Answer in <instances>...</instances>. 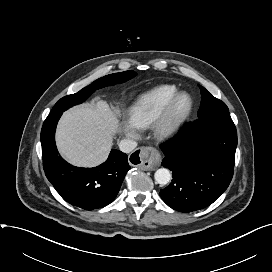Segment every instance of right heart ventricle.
<instances>
[{
    "label": "right heart ventricle",
    "mask_w": 272,
    "mask_h": 272,
    "mask_svg": "<svg viewBox=\"0 0 272 272\" xmlns=\"http://www.w3.org/2000/svg\"><path fill=\"white\" fill-rule=\"evenodd\" d=\"M177 92L178 88L175 85L165 84L142 94L128 110L130 122L138 129L150 127Z\"/></svg>",
    "instance_id": "1"
}]
</instances>
